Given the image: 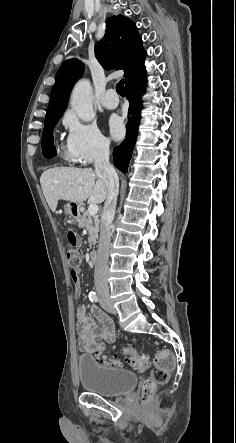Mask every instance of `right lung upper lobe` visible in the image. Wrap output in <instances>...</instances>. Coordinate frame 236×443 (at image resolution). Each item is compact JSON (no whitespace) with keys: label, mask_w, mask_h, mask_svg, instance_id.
I'll return each instance as SVG.
<instances>
[{"label":"right lung upper lobe","mask_w":236,"mask_h":443,"mask_svg":"<svg viewBox=\"0 0 236 443\" xmlns=\"http://www.w3.org/2000/svg\"><path fill=\"white\" fill-rule=\"evenodd\" d=\"M145 51L135 23L118 15L106 21L103 39L95 44V56L105 69H123L125 81L144 66ZM83 64L77 59L63 62L56 74L45 120L62 114L68 103L69 93L83 75Z\"/></svg>","instance_id":"obj_1"}]
</instances>
